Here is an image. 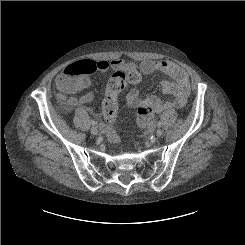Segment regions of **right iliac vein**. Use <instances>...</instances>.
Here are the masks:
<instances>
[{"instance_id":"1","label":"right iliac vein","mask_w":245,"mask_h":245,"mask_svg":"<svg viewBox=\"0 0 245 245\" xmlns=\"http://www.w3.org/2000/svg\"><path fill=\"white\" fill-rule=\"evenodd\" d=\"M98 131H97V128L96 127H92L91 128V134L92 135H97Z\"/></svg>"}]
</instances>
